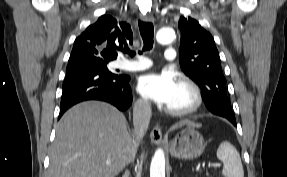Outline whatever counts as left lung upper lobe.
<instances>
[{"instance_id": "1", "label": "left lung upper lobe", "mask_w": 287, "mask_h": 177, "mask_svg": "<svg viewBox=\"0 0 287 177\" xmlns=\"http://www.w3.org/2000/svg\"><path fill=\"white\" fill-rule=\"evenodd\" d=\"M181 30L179 62L182 71L199 85L207 108L215 97L225 99L224 111L233 115L226 94V79L212 35L190 17H180Z\"/></svg>"}]
</instances>
